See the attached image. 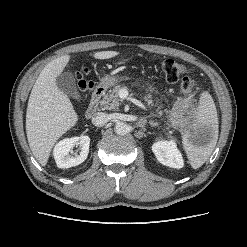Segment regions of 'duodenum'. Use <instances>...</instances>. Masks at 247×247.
I'll use <instances>...</instances> for the list:
<instances>
[{"mask_svg": "<svg viewBox=\"0 0 247 247\" xmlns=\"http://www.w3.org/2000/svg\"><path fill=\"white\" fill-rule=\"evenodd\" d=\"M103 94H104V88L103 87L96 86L93 89L91 100H90V103H89V105L86 109V113H85L87 118H91L96 114V112L98 110L99 101H100Z\"/></svg>", "mask_w": 247, "mask_h": 247, "instance_id": "410a0bca", "label": "duodenum"}]
</instances>
